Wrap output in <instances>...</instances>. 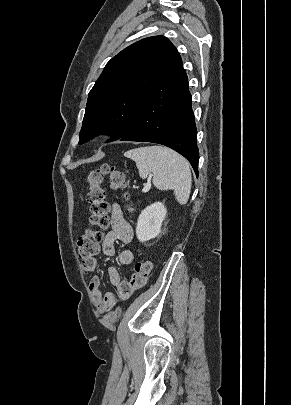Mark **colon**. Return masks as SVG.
Here are the masks:
<instances>
[{"label":"colon","mask_w":291,"mask_h":405,"mask_svg":"<svg viewBox=\"0 0 291 405\" xmlns=\"http://www.w3.org/2000/svg\"><path fill=\"white\" fill-rule=\"evenodd\" d=\"M105 175H109L110 185L113 189H123L126 185L124 172L110 164H102L87 174L86 183L89 186L87 201L90 205V224L93 228L88 229L77 240L78 256L81 260L93 258L98 253L99 244L103 239L101 230L106 228L109 223L110 206L103 188ZM125 198L127 199V196ZM152 269V261L138 262L134 266L133 275L136 279L145 280L150 276Z\"/></svg>","instance_id":"1"}]
</instances>
